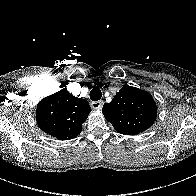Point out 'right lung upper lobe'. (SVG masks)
<instances>
[{"label":"right lung upper lobe","instance_id":"right-lung-upper-lobe-1","mask_svg":"<svg viewBox=\"0 0 196 196\" xmlns=\"http://www.w3.org/2000/svg\"><path fill=\"white\" fill-rule=\"evenodd\" d=\"M91 108L82 98L70 94L67 89L42 99L36 110L39 128L59 140H68L81 133Z\"/></svg>","mask_w":196,"mask_h":196}]
</instances>
